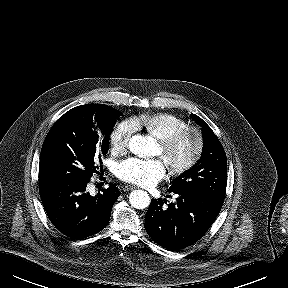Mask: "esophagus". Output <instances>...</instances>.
<instances>
[{"label": "esophagus", "mask_w": 288, "mask_h": 288, "mask_svg": "<svg viewBox=\"0 0 288 288\" xmlns=\"http://www.w3.org/2000/svg\"><path fill=\"white\" fill-rule=\"evenodd\" d=\"M133 189H135V187L131 186V185H127L123 188L124 191H129V190H133Z\"/></svg>", "instance_id": "34e87169"}]
</instances>
